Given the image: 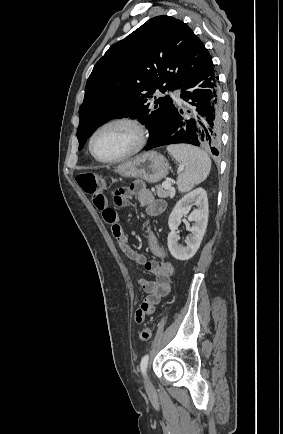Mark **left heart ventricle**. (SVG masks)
Returning a JSON list of instances; mask_svg holds the SVG:
<instances>
[{
  "label": "left heart ventricle",
  "instance_id": "obj_1",
  "mask_svg": "<svg viewBox=\"0 0 283 434\" xmlns=\"http://www.w3.org/2000/svg\"><path fill=\"white\" fill-rule=\"evenodd\" d=\"M134 130L123 124L112 125L101 130L93 141L97 156L110 159L128 152L135 144Z\"/></svg>",
  "mask_w": 283,
  "mask_h": 434
}]
</instances>
